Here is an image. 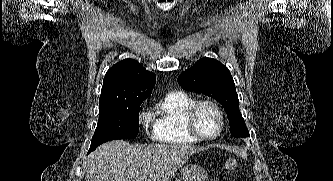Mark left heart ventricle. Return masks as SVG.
<instances>
[{
	"label": "left heart ventricle",
	"mask_w": 333,
	"mask_h": 181,
	"mask_svg": "<svg viewBox=\"0 0 333 181\" xmlns=\"http://www.w3.org/2000/svg\"><path fill=\"white\" fill-rule=\"evenodd\" d=\"M196 126L204 136H213L217 133L220 120L215 110L209 106H202L196 115Z\"/></svg>",
	"instance_id": "b2bd125f"
}]
</instances>
